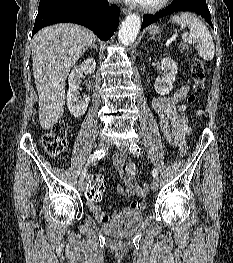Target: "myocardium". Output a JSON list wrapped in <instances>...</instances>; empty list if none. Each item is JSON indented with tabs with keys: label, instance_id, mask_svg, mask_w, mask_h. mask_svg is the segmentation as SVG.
Masks as SVG:
<instances>
[{
	"label": "myocardium",
	"instance_id": "1",
	"mask_svg": "<svg viewBox=\"0 0 233 263\" xmlns=\"http://www.w3.org/2000/svg\"><path fill=\"white\" fill-rule=\"evenodd\" d=\"M170 0H158L157 2L153 4H143L141 3L139 5V8L147 13H155L160 10H162L169 2Z\"/></svg>",
	"mask_w": 233,
	"mask_h": 263
}]
</instances>
